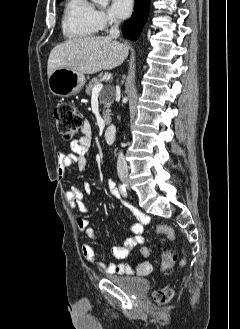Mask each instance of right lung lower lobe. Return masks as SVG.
<instances>
[{"label": "right lung lower lobe", "instance_id": "1", "mask_svg": "<svg viewBox=\"0 0 240 329\" xmlns=\"http://www.w3.org/2000/svg\"><path fill=\"white\" fill-rule=\"evenodd\" d=\"M150 0H136L135 14L124 23L122 32L126 38L136 40L148 17Z\"/></svg>", "mask_w": 240, "mask_h": 329}]
</instances>
